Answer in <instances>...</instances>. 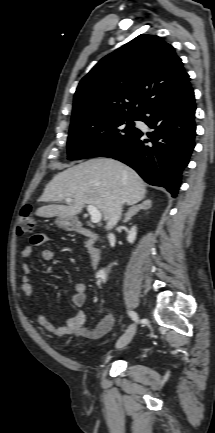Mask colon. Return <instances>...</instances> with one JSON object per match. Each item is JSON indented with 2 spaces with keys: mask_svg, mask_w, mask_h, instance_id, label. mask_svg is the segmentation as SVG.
I'll return each instance as SVG.
<instances>
[{
  "mask_svg": "<svg viewBox=\"0 0 215 433\" xmlns=\"http://www.w3.org/2000/svg\"><path fill=\"white\" fill-rule=\"evenodd\" d=\"M36 227V219L33 215L32 206L26 205L20 211L17 218L16 231L18 235L31 233Z\"/></svg>",
  "mask_w": 215,
  "mask_h": 433,
  "instance_id": "5ec220e1",
  "label": "colon"
}]
</instances>
